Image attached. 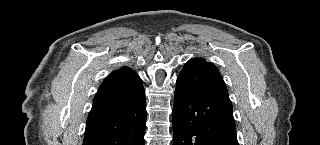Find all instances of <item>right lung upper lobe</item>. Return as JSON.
Returning <instances> with one entry per match:
<instances>
[{"label": "right lung upper lobe", "mask_w": 320, "mask_h": 145, "mask_svg": "<svg viewBox=\"0 0 320 145\" xmlns=\"http://www.w3.org/2000/svg\"><path fill=\"white\" fill-rule=\"evenodd\" d=\"M137 76L138 75L128 67H123L109 74L104 79L103 83L101 84L100 88L98 89L94 97L91 111L102 107V103L108 102L113 99L111 98V96H113L114 94L112 92H108V89L116 86L117 84L123 83L129 80L130 78Z\"/></svg>", "instance_id": "obj_1"}]
</instances>
